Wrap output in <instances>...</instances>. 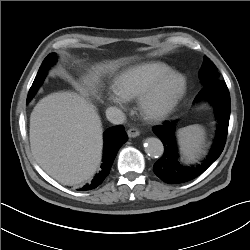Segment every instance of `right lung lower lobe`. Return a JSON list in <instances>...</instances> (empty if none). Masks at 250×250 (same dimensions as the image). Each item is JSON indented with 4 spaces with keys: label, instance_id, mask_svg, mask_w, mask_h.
Masks as SVG:
<instances>
[{
    "label": "right lung lower lobe",
    "instance_id": "1",
    "mask_svg": "<svg viewBox=\"0 0 250 250\" xmlns=\"http://www.w3.org/2000/svg\"><path fill=\"white\" fill-rule=\"evenodd\" d=\"M104 149L103 160L100 171L92 179L89 184H86L79 191L91 190L98 187L109 174L113 161L119 148L127 141L128 137L122 126H114L108 128L104 134Z\"/></svg>",
    "mask_w": 250,
    "mask_h": 250
}]
</instances>
